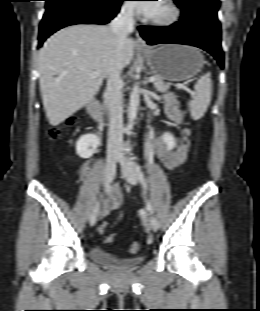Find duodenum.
<instances>
[{
    "instance_id": "410a0bca",
    "label": "duodenum",
    "mask_w": 260,
    "mask_h": 311,
    "mask_svg": "<svg viewBox=\"0 0 260 311\" xmlns=\"http://www.w3.org/2000/svg\"><path fill=\"white\" fill-rule=\"evenodd\" d=\"M87 110L89 114L96 120L102 121L104 119V111L100 101L96 97H92L87 103Z\"/></svg>"
}]
</instances>
